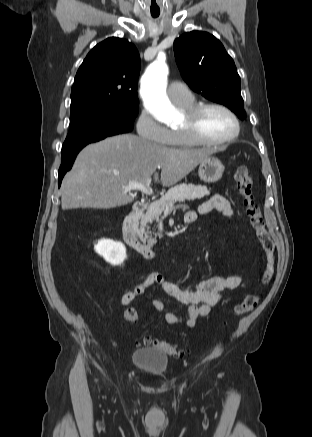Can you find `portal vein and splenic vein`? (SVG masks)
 <instances>
[{
    "label": "portal vein and splenic vein",
    "mask_w": 312,
    "mask_h": 437,
    "mask_svg": "<svg viewBox=\"0 0 312 437\" xmlns=\"http://www.w3.org/2000/svg\"><path fill=\"white\" fill-rule=\"evenodd\" d=\"M151 177L147 178L143 182H137V181H129L128 184L124 187L125 190H140L144 194L151 195L153 194V190L150 187L151 183ZM174 206L170 205L166 207L167 211L173 210Z\"/></svg>",
    "instance_id": "portal-vein-and-splenic-vein-1"
}]
</instances>
